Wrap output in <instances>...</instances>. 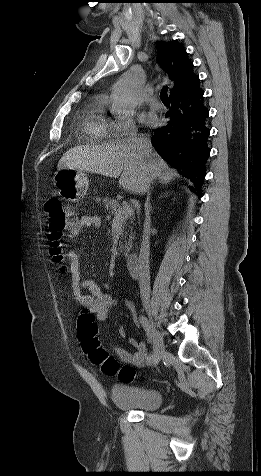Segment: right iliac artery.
<instances>
[{
	"label": "right iliac artery",
	"mask_w": 261,
	"mask_h": 476,
	"mask_svg": "<svg viewBox=\"0 0 261 476\" xmlns=\"http://www.w3.org/2000/svg\"><path fill=\"white\" fill-rule=\"evenodd\" d=\"M139 320H140V323H141L143 329L146 331L147 335H149V334L151 333V329H150L149 326H148V320H147V318H145L144 316H140V319H139ZM149 339H150L149 342L151 343V342H152V341H151L152 338L150 337ZM152 362H153V354H149V355L147 356V358H146V364H147V365H150Z\"/></svg>",
	"instance_id": "1"
}]
</instances>
